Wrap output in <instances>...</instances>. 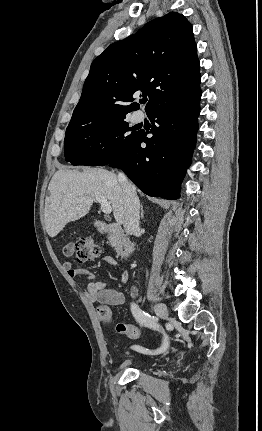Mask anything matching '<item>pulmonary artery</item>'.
I'll return each mask as SVG.
<instances>
[{
  "mask_svg": "<svg viewBox=\"0 0 262 431\" xmlns=\"http://www.w3.org/2000/svg\"><path fill=\"white\" fill-rule=\"evenodd\" d=\"M143 118H144V115L142 113L136 112L134 114V121L135 122H140L143 120Z\"/></svg>",
  "mask_w": 262,
  "mask_h": 431,
  "instance_id": "1",
  "label": "pulmonary artery"
}]
</instances>
